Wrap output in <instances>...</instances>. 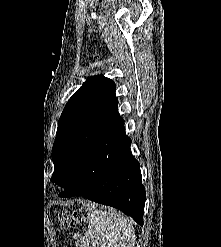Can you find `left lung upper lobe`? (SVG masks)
Here are the masks:
<instances>
[{"label": "left lung upper lobe", "mask_w": 221, "mask_h": 247, "mask_svg": "<svg viewBox=\"0 0 221 247\" xmlns=\"http://www.w3.org/2000/svg\"><path fill=\"white\" fill-rule=\"evenodd\" d=\"M115 89L113 80L98 75L89 77L71 96L58 121L52 149V182L63 188L71 184L99 137L122 120Z\"/></svg>", "instance_id": "5c2ea615"}]
</instances>
